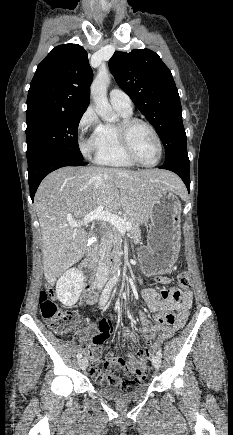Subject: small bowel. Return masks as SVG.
<instances>
[{
    "label": "small bowel",
    "mask_w": 233,
    "mask_h": 435,
    "mask_svg": "<svg viewBox=\"0 0 233 435\" xmlns=\"http://www.w3.org/2000/svg\"><path fill=\"white\" fill-rule=\"evenodd\" d=\"M157 278L162 284H168L170 282L169 277L159 276ZM142 298L150 311L154 314L156 322L155 325L152 324L151 320L145 314L140 313L139 320L142 323V336L146 342L152 338H156L155 345L153 347L140 349L138 357L133 353H128V362L123 358L116 357L113 352H109L103 364L104 368L107 370L105 374L98 367L97 361L100 359L105 341L113 330L111 320L102 318L98 324L85 322L76 327L80 349L86 348V352L84 353L94 362L91 367V375L98 385L119 384L120 378L116 372L120 369L126 372L139 369L137 380L145 379L149 372L146 361L150 353L187 320L188 309L192 303V292L180 286L170 288L164 286L150 287L142 291ZM93 335H96V338L93 342H90ZM123 339L135 343L136 334L129 329H125L123 331Z\"/></svg>",
    "instance_id": "small-bowel-1"
}]
</instances>
